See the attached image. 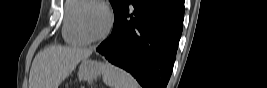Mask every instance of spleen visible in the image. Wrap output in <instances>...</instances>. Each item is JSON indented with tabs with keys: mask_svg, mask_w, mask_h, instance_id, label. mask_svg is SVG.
I'll return each instance as SVG.
<instances>
[{
	"mask_svg": "<svg viewBox=\"0 0 267 88\" xmlns=\"http://www.w3.org/2000/svg\"><path fill=\"white\" fill-rule=\"evenodd\" d=\"M102 75L109 88H139V84L129 73L110 63L102 64Z\"/></svg>",
	"mask_w": 267,
	"mask_h": 88,
	"instance_id": "3e777b00",
	"label": "spleen"
}]
</instances>
